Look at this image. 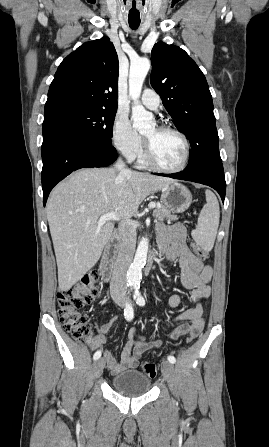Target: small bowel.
Listing matches in <instances>:
<instances>
[{
	"label": "small bowel",
	"instance_id": "obj_1",
	"mask_svg": "<svg viewBox=\"0 0 269 447\" xmlns=\"http://www.w3.org/2000/svg\"><path fill=\"white\" fill-rule=\"evenodd\" d=\"M186 238V228L182 224H174L172 226L159 225L157 228L158 248L167 252L170 264L178 260L181 268L179 282L182 287L191 290V299L194 302V307L183 311L173 319L175 322L180 321L183 323L172 331L169 336L171 340H177L194 327H199L200 330L204 327L203 304L204 300L211 293L212 269L193 255L187 245ZM181 303L182 297L179 294H172L168 299V305L172 308L179 307ZM188 321L191 323V326ZM115 324L116 317L113 316L100 327L95 345L104 344L108 341V335L115 327ZM162 343L161 340L146 341L139 335L137 328L132 327L129 330L119 361L108 351L104 353V358L110 370L113 373H119L136 367L139 359L147 350L159 347Z\"/></svg>",
	"mask_w": 269,
	"mask_h": 447
}]
</instances>
